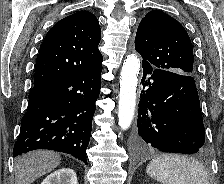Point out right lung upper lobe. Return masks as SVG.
<instances>
[{"label":"right lung upper lobe","instance_id":"right-lung-upper-lobe-1","mask_svg":"<svg viewBox=\"0 0 224 184\" xmlns=\"http://www.w3.org/2000/svg\"><path fill=\"white\" fill-rule=\"evenodd\" d=\"M101 28L89 11L58 21L47 33L36 60L34 84L94 71L102 66Z\"/></svg>","mask_w":224,"mask_h":184}]
</instances>
